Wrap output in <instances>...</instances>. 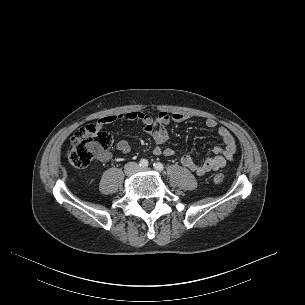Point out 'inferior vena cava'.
<instances>
[{
	"label": "inferior vena cava",
	"instance_id": "1",
	"mask_svg": "<svg viewBox=\"0 0 305 305\" xmlns=\"http://www.w3.org/2000/svg\"><path fill=\"white\" fill-rule=\"evenodd\" d=\"M132 165L137 166V164H135V163H132Z\"/></svg>",
	"mask_w": 305,
	"mask_h": 305
}]
</instances>
